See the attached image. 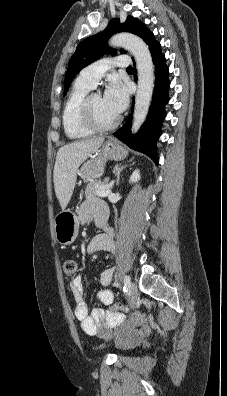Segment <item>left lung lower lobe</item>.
Masks as SVG:
<instances>
[{
	"label": "left lung lower lobe",
	"instance_id": "1",
	"mask_svg": "<svg viewBox=\"0 0 227 396\" xmlns=\"http://www.w3.org/2000/svg\"><path fill=\"white\" fill-rule=\"evenodd\" d=\"M147 44L149 45L156 69L155 88L147 120L136 135H131V114L126 124L115 132V136L132 149L148 155L157 165L158 158L156 153V142L161 135V124L166 115L165 105L169 100L168 88L170 86V82L168 80L169 70L165 64V56L161 52L160 43L153 38Z\"/></svg>",
	"mask_w": 227,
	"mask_h": 396
}]
</instances>
